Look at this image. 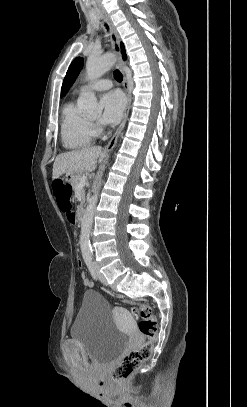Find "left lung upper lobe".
Masks as SVG:
<instances>
[{"instance_id":"5c2ea615","label":"left lung upper lobe","mask_w":247,"mask_h":407,"mask_svg":"<svg viewBox=\"0 0 247 407\" xmlns=\"http://www.w3.org/2000/svg\"><path fill=\"white\" fill-rule=\"evenodd\" d=\"M82 67H83V58L82 57L76 58L71 63V65L69 66V69L66 73V76L63 80L62 89H61V97L66 95L69 88L72 86L75 79L79 75V72L81 71Z\"/></svg>"}]
</instances>
